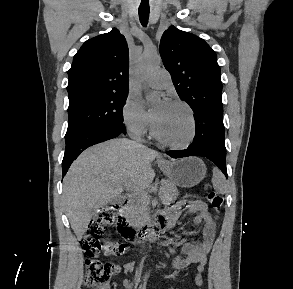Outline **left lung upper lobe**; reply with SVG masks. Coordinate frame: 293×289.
<instances>
[{"label":"left lung upper lobe","instance_id":"left-lung-upper-lobe-1","mask_svg":"<svg viewBox=\"0 0 293 289\" xmlns=\"http://www.w3.org/2000/svg\"><path fill=\"white\" fill-rule=\"evenodd\" d=\"M160 55L178 95L195 115H223L220 67L216 53L203 39L170 26L162 35Z\"/></svg>","mask_w":293,"mask_h":289}]
</instances>
